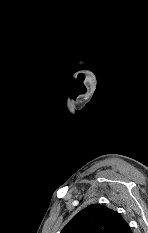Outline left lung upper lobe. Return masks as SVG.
Returning <instances> with one entry per match:
<instances>
[{
  "label": "left lung upper lobe",
  "instance_id": "1",
  "mask_svg": "<svg viewBox=\"0 0 148 233\" xmlns=\"http://www.w3.org/2000/svg\"><path fill=\"white\" fill-rule=\"evenodd\" d=\"M61 233H132L119 213L100 204H92L77 213Z\"/></svg>",
  "mask_w": 148,
  "mask_h": 233
}]
</instances>
